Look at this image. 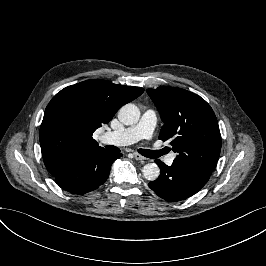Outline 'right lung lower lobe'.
Returning <instances> with one entry per match:
<instances>
[{
	"mask_svg": "<svg viewBox=\"0 0 266 266\" xmlns=\"http://www.w3.org/2000/svg\"><path fill=\"white\" fill-rule=\"evenodd\" d=\"M121 156L104 148L76 154L54 175L55 181L69 193L85 194L107 180L112 163Z\"/></svg>",
	"mask_w": 266,
	"mask_h": 266,
	"instance_id": "right-lung-lower-lobe-1",
	"label": "right lung lower lobe"
}]
</instances>
